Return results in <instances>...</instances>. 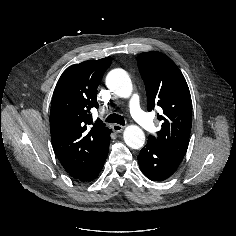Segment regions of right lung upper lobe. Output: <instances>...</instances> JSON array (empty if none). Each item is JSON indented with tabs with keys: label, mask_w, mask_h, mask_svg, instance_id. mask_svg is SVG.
I'll return each mask as SVG.
<instances>
[{
	"label": "right lung upper lobe",
	"mask_w": 236,
	"mask_h": 236,
	"mask_svg": "<svg viewBox=\"0 0 236 236\" xmlns=\"http://www.w3.org/2000/svg\"><path fill=\"white\" fill-rule=\"evenodd\" d=\"M112 58L70 66L54 91L50 131L54 151L64 169L75 179L86 174L107 152L110 129L90 110L98 108L97 88Z\"/></svg>",
	"instance_id": "1"
}]
</instances>
